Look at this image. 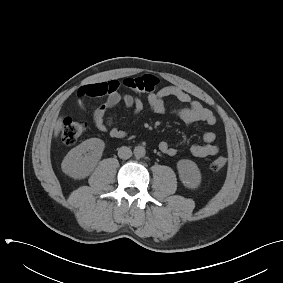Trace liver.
Listing matches in <instances>:
<instances>
[{
    "label": "liver",
    "mask_w": 283,
    "mask_h": 283,
    "mask_svg": "<svg viewBox=\"0 0 283 283\" xmlns=\"http://www.w3.org/2000/svg\"><path fill=\"white\" fill-rule=\"evenodd\" d=\"M62 128V120L59 119L56 123H55V128H54V136L57 137L61 131Z\"/></svg>",
    "instance_id": "6515ba94"
}]
</instances>
